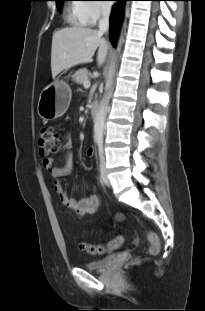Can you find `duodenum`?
<instances>
[{"label":"duodenum","mask_w":205,"mask_h":311,"mask_svg":"<svg viewBox=\"0 0 205 311\" xmlns=\"http://www.w3.org/2000/svg\"><path fill=\"white\" fill-rule=\"evenodd\" d=\"M98 111H99V103L96 101L92 102L90 107V114L92 118H95L97 116Z\"/></svg>","instance_id":"1"}]
</instances>
